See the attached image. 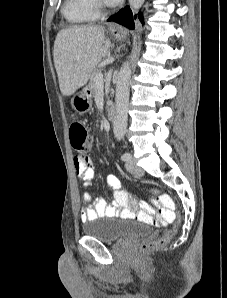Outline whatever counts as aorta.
<instances>
[{
    "instance_id": "obj_1",
    "label": "aorta",
    "mask_w": 227,
    "mask_h": 298,
    "mask_svg": "<svg viewBox=\"0 0 227 298\" xmlns=\"http://www.w3.org/2000/svg\"><path fill=\"white\" fill-rule=\"evenodd\" d=\"M144 0H129L133 10L139 9ZM131 78V65L129 61L122 64L116 82V114L113 122V133L117 139L124 137L127 128L129 106V81Z\"/></svg>"
}]
</instances>
